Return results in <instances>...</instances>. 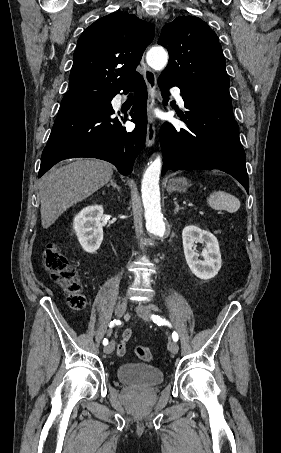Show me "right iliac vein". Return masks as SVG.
Masks as SVG:
<instances>
[{"instance_id": "1", "label": "right iliac vein", "mask_w": 281, "mask_h": 453, "mask_svg": "<svg viewBox=\"0 0 281 453\" xmlns=\"http://www.w3.org/2000/svg\"><path fill=\"white\" fill-rule=\"evenodd\" d=\"M115 310H116L115 313H114L115 316L118 317V318L121 317L122 314H123L122 312H125V310H126L125 303L123 301H120L119 303H116ZM104 348H105L104 349L105 355H110V353H113V351H114L115 343L113 341H110L108 343V345L105 346Z\"/></svg>"}]
</instances>
